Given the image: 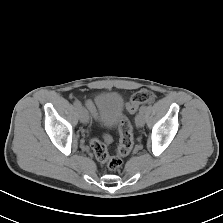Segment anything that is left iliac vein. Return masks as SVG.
<instances>
[{
	"label": "left iliac vein",
	"mask_w": 223,
	"mask_h": 223,
	"mask_svg": "<svg viewBox=\"0 0 223 223\" xmlns=\"http://www.w3.org/2000/svg\"><path fill=\"white\" fill-rule=\"evenodd\" d=\"M144 115L143 113L139 112L136 116H135V124L137 127H143L144 126Z\"/></svg>",
	"instance_id": "1"
}]
</instances>
